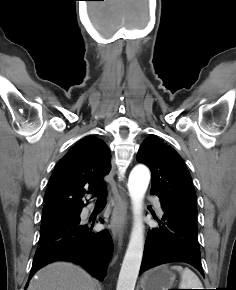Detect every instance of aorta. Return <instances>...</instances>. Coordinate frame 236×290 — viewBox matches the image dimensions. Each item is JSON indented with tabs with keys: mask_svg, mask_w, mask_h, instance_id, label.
<instances>
[{
	"mask_svg": "<svg viewBox=\"0 0 236 290\" xmlns=\"http://www.w3.org/2000/svg\"><path fill=\"white\" fill-rule=\"evenodd\" d=\"M149 181L150 172L143 165L136 166L130 173L128 190L133 205L134 223L116 290H134L135 288L144 249L142 205Z\"/></svg>",
	"mask_w": 236,
	"mask_h": 290,
	"instance_id": "aorta-1",
	"label": "aorta"
}]
</instances>
